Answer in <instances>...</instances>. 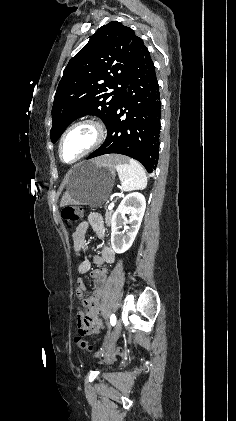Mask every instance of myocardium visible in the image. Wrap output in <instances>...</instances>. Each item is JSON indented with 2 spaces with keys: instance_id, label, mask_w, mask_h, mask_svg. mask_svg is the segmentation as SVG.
Instances as JSON below:
<instances>
[{
  "instance_id": "1",
  "label": "myocardium",
  "mask_w": 236,
  "mask_h": 421,
  "mask_svg": "<svg viewBox=\"0 0 236 421\" xmlns=\"http://www.w3.org/2000/svg\"><path fill=\"white\" fill-rule=\"evenodd\" d=\"M81 127H88L92 129L94 132V139L92 143L89 145V147L78 158H76L71 163H66L62 160V157H61V151H62L64 140L72 131ZM106 136H107L106 128L100 121H97L94 119H84V120L77 121L73 123L71 126H69L62 134L59 140V144H58V157L62 163L74 164L80 161L81 159H83L84 157L90 155L96 149H98L104 143Z\"/></svg>"
}]
</instances>
